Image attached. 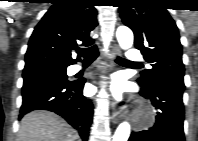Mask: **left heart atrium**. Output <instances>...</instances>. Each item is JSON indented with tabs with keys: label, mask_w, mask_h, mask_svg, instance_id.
<instances>
[{
	"label": "left heart atrium",
	"mask_w": 198,
	"mask_h": 141,
	"mask_svg": "<svg viewBox=\"0 0 198 141\" xmlns=\"http://www.w3.org/2000/svg\"><path fill=\"white\" fill-rule=\"evenodd\" d=\"M112 93L115 97H120L121 95V86L119 83L115 82L112 84Z\"/></svg>",
	"instance_id": "obj_1"
}]
</instances>
